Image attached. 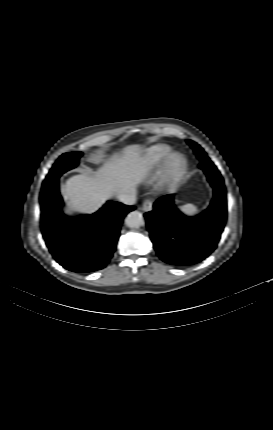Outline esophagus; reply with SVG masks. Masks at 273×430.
I'll use <instances>...</instances> for the list:
<instances>
[{"label":"esophagus","mask_w":273,"mask_h":430,"mask_svg":"<svg viewBox=\"0 0 273 430\" xmlns=\"http://www.w3.org/2000/svg\"><path fill=\"white\" fill-rule=\"evenodd\" d=\"M152 208H153V201L151 199L145 200L141 206V210L144 212L151 211Z\"/></svg>","instance_id":"esophagus-1"}]
</instances>
